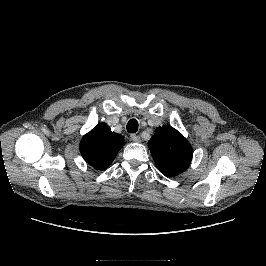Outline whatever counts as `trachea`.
I'll return each mask as SVG.
<instances>
[{"instance_id":"trachea-1","label":"trachea","mask_w":266,"mask_h":266,"mask_svg":"<svg viewBox=\"0 0 266 266\" xmlns=\"http://www.w3.org/2000/svg\"><path fill=\"white\" fill-rule=\"evenodd\" d=\"M126 128H127V131L129 133H135V132H137V130H138V122H137V120L136 119H131L127 123Z\"/></svg>"}]
</instances>
